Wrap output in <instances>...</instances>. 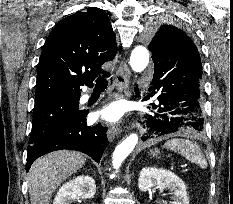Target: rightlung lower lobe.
Wrapping results in <instances>:
<instances>
[{"label": "right lung lower lobe", "instance_id": "right-lung-lower-lobe-1", "mask_svg": "<svg viewBox=\"0 0 233 204\" xmlns=\"http://www.w3.org/2000/svg\"><path fill=\"white\" fill-rule=\"evenodd\" d=\"M86 111H80L51 134L28 147L26 171L38 157L56 150L83 152L99 162L108 144L106 129L100 124L87 126Z\"/></svg>", "mask_w": 233, "mask_h": 204}]
</instances>
